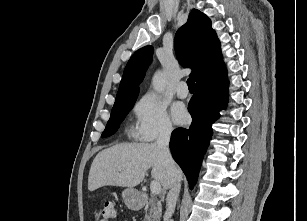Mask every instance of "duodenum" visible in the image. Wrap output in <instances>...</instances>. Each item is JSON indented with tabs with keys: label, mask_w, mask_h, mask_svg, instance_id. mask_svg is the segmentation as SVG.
I'll use <instances>...</instances> for the list:
<instances>
[{
	"label": "duodenum",
	"mask_w": 307,
	"mask_h": 221,
	"mask_svg": "<svg viewBox=\"0 0 307 221\" xmlns=\"http://www.w3.org/2000/svg\"><path fill=\"white\" fill-rule=\"evenodd\" d=\"M145 200H146L145 195H140V196L136 199L137 203H140V202L145 201Z\"/></svg>",
	"instance_id": "obj_1"
}]
</instances>
